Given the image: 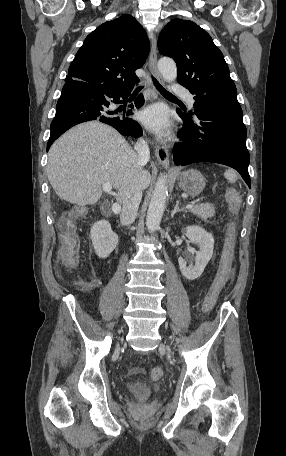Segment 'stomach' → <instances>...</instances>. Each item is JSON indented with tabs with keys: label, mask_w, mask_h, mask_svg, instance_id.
I'll list each match as a JSON object with an SVG mask.
<instances>
[{
	"label": "stomach",
	"mask_w": 286,
	"mask_h": 456,
	"mask_svg": "<svg viewBox=\"0 0 286 456\" xmlns=\"http://www.w3.org/2000/svg\"><path fill=\"white\" fill-rule=\"evenodd\" d=\"M180 188L191 197L199 195L205 188V178L195 169L181 172L177 176Z\"/></svg>",
	"instance_id": "obj_1"
}]
</instances>
